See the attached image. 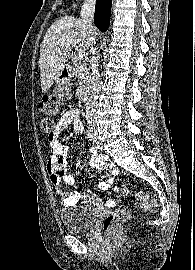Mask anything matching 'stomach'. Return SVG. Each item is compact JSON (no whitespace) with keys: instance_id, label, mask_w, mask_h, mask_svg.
<instances>
[{"instance_id":"1","label":"stomach","mask_w":195,"mask_h":270,"mask_svg":"<svg viewBox=\"0 0 195 270\" xmlns=\"http://www.w3.org/2000/svg\"><path fill=\"white\" fill-rule=\"evenodd\" d=\"M67 82L66 78H63L62 76H60V78L57 80V87H61L62 85H64Z\"/></svg>"}]
</instances>
